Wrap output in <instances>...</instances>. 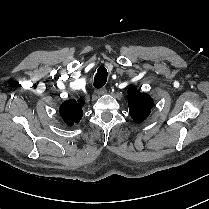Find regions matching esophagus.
<instances>
[{
  "instance_id": "esophagus-1",
  "label": "esophagus",
  "mask_w": 209,
  "mask_h": 209,
  "mask_svg": "<svg viewBox=\"0 0 209 209\" xmlns=\"http://www.w3.org/2000/svg\"><path fill=\"white\" fill-rule=\"evenodd\" d=\"M106 93H107V90L104 87L96 90V94L99 95V96L104 95Z\"/></svg>"
}]
</instances>
